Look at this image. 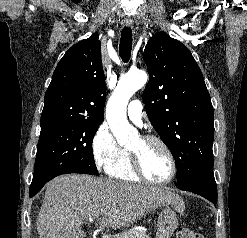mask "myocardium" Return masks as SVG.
Segmentation results:
<instances>
[{
  "mask_svg": "<svg viewBox=\"0 0 247 238\" xmlns=\"http://www.w3.org/2000/svg\"><path fill=\"white\" fill-rule=\"evenodd\" d=\"M141 140L145 143H156L163 148V150L165 151V153L167 154V156L169 158L170 165H171V171H170L169 176L166 179L159 180V181L152 180L145 175V173L142 169L139 155L137 153L129 150L128 152L130 155L132 168H133V171L136 174V176L139 178V180H141L147 184H151V185H166V184L170 183L176 175L177 163H176L174 153L171 150V148L169 147V145L164 140H162L160 137L155 136V135H144L141 137Z\"/></svg>",
  "mask_w": 247,
  "mask_h": 238,
  "instance_id": "f54148a6",
  "label": "myocardium"
}]
</instances>
